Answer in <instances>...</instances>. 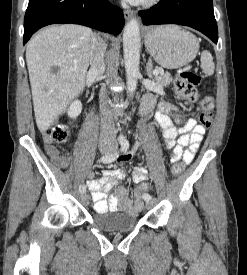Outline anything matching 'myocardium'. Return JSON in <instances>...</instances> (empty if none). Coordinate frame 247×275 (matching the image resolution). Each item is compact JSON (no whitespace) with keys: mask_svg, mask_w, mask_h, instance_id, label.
<instances>
[{"mask_svg":"<svg viewBox=\"0 0 247 275\" xmlns=\"http://www.w3.org/2000/svg\"><path fill=\"white\" fill-rule=\"evenodd\" d=\"M159 0H143L140 4L144 7H150L155 5Z\"/></svg>","mask_w":247,"mask_h":275,"instance_id":"myocardium-1","label":"myocardium"}]
</instances>
